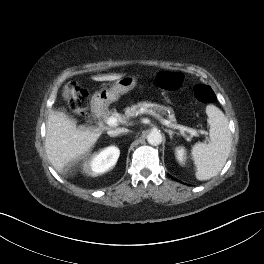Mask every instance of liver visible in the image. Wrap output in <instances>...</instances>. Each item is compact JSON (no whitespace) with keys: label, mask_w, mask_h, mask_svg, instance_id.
I'll use <instances>...</instances> for the list:
<instances>
[{"label":"liver","mask_w":264,"mask_h":264,"mask_svg":"<svg viewBox=\"0 0 264 264\" xmlns=\"http://www.w3.org/2000/svg\"><path fill=\"white\" fill-rule=\"evenodd\" d=\"M122 74L93 76L95 81H114ZM104 129L81 126L64 111L51 110L46 124L45 149L49 161L59 173L65 175L88 153L101 136Z\"/></svg>","instance_id":"6515ba94"}]
</instances>
